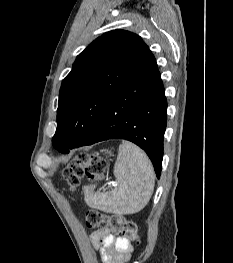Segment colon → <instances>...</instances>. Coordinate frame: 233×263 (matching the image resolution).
Masks as SVG:
<instances>
[{"label": "colon", "mask_w": 233, "mask_h": 263, "mask_svg": "<svg viewBox=\"0 0 233 263\" xmlns=\"http://www.w3.org/2000/svg\"><path fill=\"white\" fill-rule=\"evenodd\" d=\"M106 169V161L97 153H78L66 166L63 177L68 185L75 189L82 178L95 179L101 177ZM86 223L92 228H110L132 242H140V235L133 221L123 215H106L96 210L86 213Z\"/></svg>", "instance_id": "obj_1"}]
</instances>
